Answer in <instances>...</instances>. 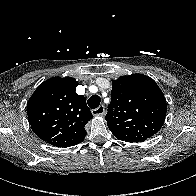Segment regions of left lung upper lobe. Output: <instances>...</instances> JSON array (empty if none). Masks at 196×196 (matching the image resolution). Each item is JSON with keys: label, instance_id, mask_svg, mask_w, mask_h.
<instances>
[{"label": "left lung upper lobe", "instance_id": "5c2ea615", "mask_svg": "<svg viewBox=\"0 0 196 196\" xmlns=\"http://www.w3.org/2000/svg\"><path fill=\"white\" fill-rule=\"evenodd\" d=\"M166 99L148 76H121L112 82L106 121L115 137L126 142H143L156 134L166 116Z\"/></svg>", "mask_w": 196, "mask_h": 196}]
</instances>
